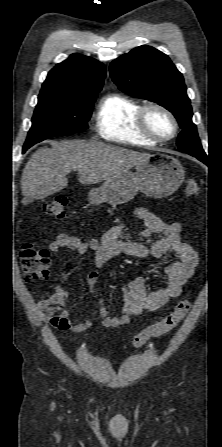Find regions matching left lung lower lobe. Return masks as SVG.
<instances>
[{
  "mask_svg": "<svg viewBox=\"0 0 222 447\" xmlns=\"http://www.w3.org/2000/svg\"><path fill=\"white\" fill-rule=\"evenodd\" d=\"M191 155V154H190ZM194 157H196L197 159H199L200 161H202L203 163H206L207 161V157L204 156H196V155H192Z\"/></svg>",
  "mask_w": 222,
  "mask_h": 447,
  "instance_id": "0a47b994",
  "label": "left lung lower lobe"
}]
</instances>
